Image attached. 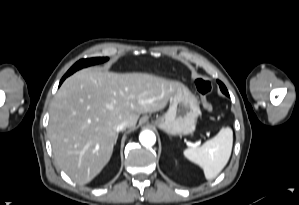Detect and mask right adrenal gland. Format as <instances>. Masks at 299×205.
I'll return each instance as SVG.
<instances>
[{
    "instance_id": "obj_1",
    "label": "right adrenal gland",
    "mask_w": 299,
    "mask_h": 205,
    "mask_svg": "<svg viewBox=\"0 0 299 205\" xmlns=\"http://www.w3.org/2000/svg\"><path fill=\"white\" fill-rule=\"evenodd\" d=\"M117 138H118V134H117V136H116L115 144H116V142H117Z\"/></svg>"
}]
</instances>
